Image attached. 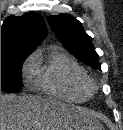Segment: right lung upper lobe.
<instances>
[{"label":"right lung upper lobe","instance_id":"cb5924a9","mask_svg":"<svg viewBox=\"0 0 123 130\" xmlns=\"http://www.w3.org/2000/svg\"><path fill=\"white\" fill-rule=\"evenodd\" d=\"M47 33L44 19L35 12L9 16L1 26V57L30 54Z\"/></svg>","mask_w":123,"mask_h":130}]
</instances>
